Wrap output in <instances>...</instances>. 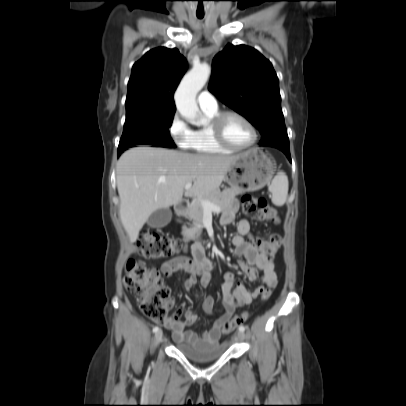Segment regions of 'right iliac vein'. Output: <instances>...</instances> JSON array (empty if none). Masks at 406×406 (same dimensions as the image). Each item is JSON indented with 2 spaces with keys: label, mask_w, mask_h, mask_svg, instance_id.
Returning a JSON list of instances; mask_svg holds the SVG:
<instances>
[{
  "label": "right iliac vein",
  "mask_w": 406,
  "mask_h": 406,
  "mask_svg": "<svg viewBox=\"0 0 406 406\" xmlns=\"http://www.w3.org/2000/svg\"><path fill=\"white\" fill-rule=\"evenodd\" d=\"M162 338H163L162 330L157 331L155 334V343L159 344L162 341Z\"/></svg>",
  "instance_id": "right-iliac-vein-1"
}]
</instances>
